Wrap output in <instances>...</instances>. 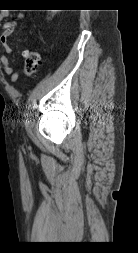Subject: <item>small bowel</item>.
<instances>
[{
  "mask_svg": "<svg viewBox=\"0 0 138 253\" xmlns=\"http://www.w3.org/2000/svg\"><path fill=\"white\" fill-rule=\"evenodd\" d=\"M23 15H19L16 19L5 22L2 26V34L0 36V44L2 45L5 53L10 54L13 49L9 44V37L13 33L15 27L17 26L18 19H21ZM26 51L23 52L25 56ZM0 62L2 64L4 72L10 76V81L12 83L16 82L18 79V71L10 65L9 59L6 55L0 57Z\"/></svg>",
  "mask_w": 138,
  "mask_h": 253,
  "instance_id": "small-bowel-1",
  "label": "small bowel"
}]
</instances>
